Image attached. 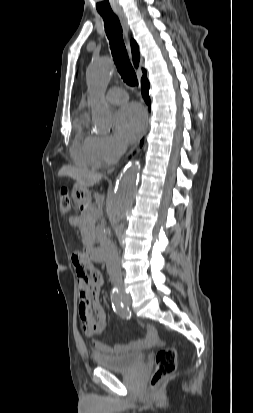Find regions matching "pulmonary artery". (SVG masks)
Listing matches in <instances>:
<instances>
[{"label":"pulmonary artery","mask_w":253,"mask_h":413,"mask_svg":"<svg viewBox=\"0 0 253 413\" xmlns=\"http://www.w3.org/2000/svg\"><path fill=\"white\" fill-rule=\"evenodd\" d=\"M106 99L111 104H122L125 103L128 99L126 92L121 88H112L106 94Z\"/></svg>","instance_id":"e3ab8cb5"}]
</instances>
